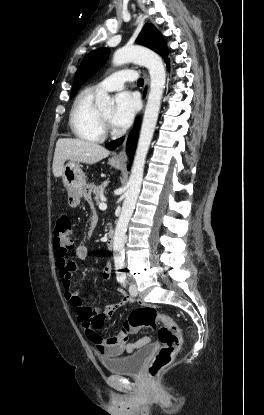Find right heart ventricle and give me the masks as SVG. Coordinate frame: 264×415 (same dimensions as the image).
I'll use <instances>...</instances> for the list:
<instances>
[{
    "mask_svg": "<svg viewBox=\"0 0 264 415\" xmlns=\"http://www.w3.org/2000/svg\"><path fill=\"white\" fill-rule=\"evenodd\" d=\"M97 95L94 90H84L72 105L69 125L73 135L80 140L97 143L104 139L95 105Z\"/></svg>",
    "mask_w": 264,
    "mask_h": 415,
    "instance_id": "1",
    "label": "right heart ventricle"
}]
</instances>
